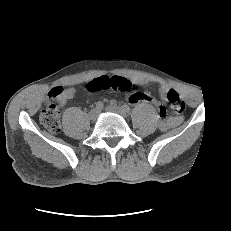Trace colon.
Masks as SVG:
<instances>
[{"label":"colon","instance_id":"5ec220e1","mask_svg":"<svg viewBox=\"0 0 231 231\" xmlns=\"http://www.w3.org/2000/svg\"><path fill=\"white\" fill-rule=\"evenodd\" d=\"M88 90L92 93L113 90L117 92H132L133 86L126 78L113 76V77H102L92 80L88 86ZM133 93V92H132ZM61 94L59 88H54L50 91V103L41 110L40 122L49 131L58 133L61 129L60 125V114L57 104L54 102ZM165 106L159 107L160 117L164 120L167 109L173 113L180 115L184 109L185 104L182 101L178 92L174 89H168L165 94Z\"/></svg>","mask_w":231,"mask_h":231}]
</instances>
